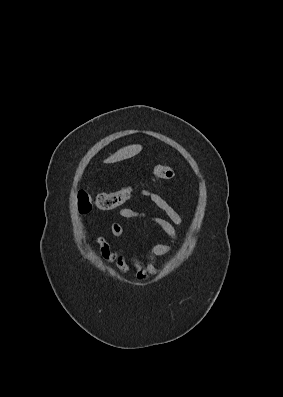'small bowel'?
I'll return each instance as SVG.
<instances>
[{
    "label": "small bowel",
    "mask_w": 283,
    "mask_h": 397,
    "mask_svg": "<svg viewBox=\"0 0 283 397\" xmlns=\"http://www.w3.org/2000/svg\"><path fill=\"white\" fill-rule=\"evenodd\" d=\"M140 194L149 198L165 213L167 218L132 208H121L117 212L118 216L129 220H143L158 226L169 237V242L153 245L149 249L146 261L136 255L128 260L121 249L112 248L109 242L102 236L96 238V243L99 246L102 258L109 263H113L122 274H128L132 267L136 279L139 281H146L159 273V268L156 263L157 259L171 252L177 240L176 227L181 225L183 221L172 206L156 192L149 189H141ZM110 232L114 237L121 240H127L132 237V235L118 222L111 223Z\"/></svg>",
    "instance_id": "c3829d8e"
}]
</instances>
